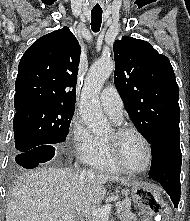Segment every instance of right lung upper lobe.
Returning <instances> with one entry per match:
<instances>
[{
  "mask_svg": "<svg viewBox=\"0 0 190 221\" xmlns=\"http://www.w3.org/2000/svg\"><path fill=\"white\" fill-rule=\"evenodd\" d=\"M80 54V45L68 27L40 37L20 60L15 110L40 105L74 108Z\"/></svg>",
  "mask_w": 190,
  "mask_h": 221,
  "instance_id": "1",
  "label": "right lung upper lobe"
}]
</instances>
